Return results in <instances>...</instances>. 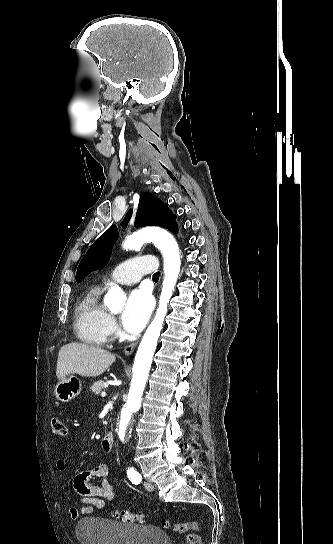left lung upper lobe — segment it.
Segmentation results:
<instances>
[{
	"instance_id": "1",
	"label": "left lung upper lobe",
	"mask_w": 333,
	"mask_h": 544,
	"mask_svg": "<svg viewBox=\"0 0 333 544\" xmlns=\"http://www.w3.org/2000/svg\"><path fill=\"white\" fill-rule=\"evenodd\" d=\"M131 215L132 210H129L122 222L123 227L126 226ZM175 218L176 215H173L167 204L158 197L150 193L141 194L135 219L136 227L158 225L177 233L178 225ZM117 237L118 230L113 225L93 243L78 266L77 282H81L91 271L101 269L107 264L110 250Z\"/></svg>"
}]
</instances>
